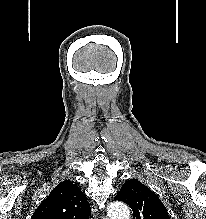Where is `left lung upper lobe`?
I'll list each match as a JSON object with an SVG mask.
<instances>
[{"mask_svg": "<svg viewBox=\"0 0 206 219\" xmlns=\"http://www.w3.org/2000/svg\"><path fill=\"white\" fill-rule=\"evenodd\" d=\"M114 199L131 207L133 219H170L158 196L138 180L125 182Z\"/></svg>", "mask_w": 206, "mask_h": 219, "instance_id": "obj_1", "label": "left lung upper lobe"}]
</instances>
